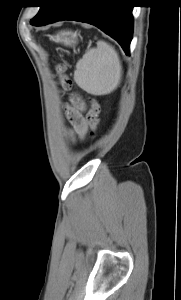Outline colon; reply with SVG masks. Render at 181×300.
I'll use <instances>...</instances> for the list:
<instances>
[{"label":"colon","instance_id":"obj_1","mask_svg":"<svg viewBox=\"0 0 181 300\" xmlns=\"http://www.w3.org/2000/svg\"><path fill=\"white\" fill-rule=\"evenodd\" d=\"M55 69L61 87L65 90L70 89L72 81L66 74L65 65L57 64ZM74 103L76 107H79L82 104L78 97L74 99ZM100 110L101 107L99 101L97 99H91L90 109L86 115V123L91 136H94L98 129Z\"/></svg>","mask_w":181,"mask_h":300}]
</instances>
